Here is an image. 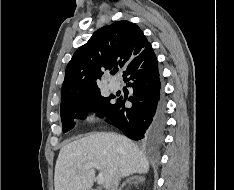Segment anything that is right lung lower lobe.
Masks as SVG:
<instances>
[{
    "instance_id": "98d812e1",
    "label": "right lung lower lobe",
    "mask_w": 234,
    "mask_h": 190,
    "mask_svg": "<svg viewBox=\"0 0 234 190\" xmlns=\"http://www.w3.org/2000/svg\"><path fill=\"white\" fill-rule=\"evenodd\" d=\"M123 79L133 89L129 98L132 107L125 108L126 98H118L106 121L132 140L158 142L165 123L164 103L158 63L151 45L130 62Z\"/></svg>"
}]
</instances>
